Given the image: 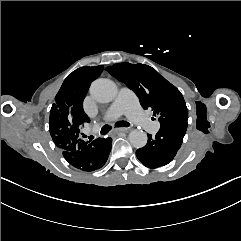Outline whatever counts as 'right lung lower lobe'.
Listing matches in <instances>:
<instances>
[{
	"label": "right lung lower lobe",
	"mask_w": 241,
	"mask_h": 241,
	"mask_svg": "<svg viewBox=\"0 0 241 241\" xmlns=\"http://www.w3.org/2000/svg\"><path fill=\"white\" fill-rule=\"evenodd\" d=\"M111 138H98L93 141H80L62 151L66 161L82 171H94L107 161L111 150Z\"/></svg>",
	"instance_id": "1"
}]
</instances>
